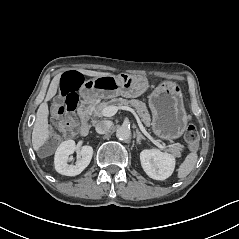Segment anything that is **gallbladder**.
Segmentation results:
<instances>
[{
    "instance_id": "gallbladder-1",
    "label": "gallbladder",
    "mask_w": 239,
    "mask_h": 239,
    "mask_svg": "<svg viewBox=\"0 0 239 239\" xmlns=\"http://www.w3.org/2000/svg\"><path fill=\"white\" fill-rule=\"evenodd\" d=\"M45 149H46L45 147L40 148L38 154H40L41 151H45Z\"/></svg>"
}]
</instances>
